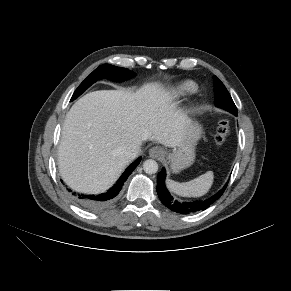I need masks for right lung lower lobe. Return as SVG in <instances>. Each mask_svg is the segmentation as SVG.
<instances>
[{
	"instance_id": "obj_1",
	"label": "right lung lower lobe",
	"mask_w": 291,
	"mask_h": 291,
	"mask_svg": "<svg viewBox=\"0 0 291 291\" xmlns=\"http://www.w3.org/2000/svg\"><path fill=\"white\" fill-rule=\"evenodd\" d=\"M141 157L135 160L122 174L117 183L107 192L99 195H85L81 193L73 192L71 189L67 190L71 192L74 199L83 207L89 210H101L110 206L118 197L124 182L128 176L133 172L136 166L140 163Z\"/></svg>"
}]
</instances>
